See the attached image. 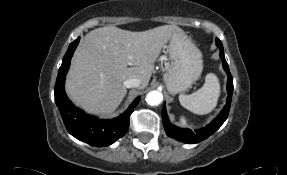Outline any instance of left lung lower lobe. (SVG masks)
<instances>
[{
  "label": "left lung lower lobe",
  "mask_w": 287,
  "mask_h": 175,
  "mask_svg": "<svg viewBox=\"0 0 287 175\" xmlns=\"http://www.w3.org/2000/svg\"><path fill=\"white\" fill-rule=\"evenodd\" d=\"M219 47H220V57L222 59L223 67L228 75V81H227L228 98H227L226 105L224 106L220 114L217 116V118H215L209 125H207L205 128L196 130L194 132L190 129H181V128H178L172 125L169 122V118L166 113V108L164 106L163 111H162V121H163V125L168 136L178 141L184 142V143H198V142L203 141L207 137H209L216 130H218L220 126L224 123V121L227 119V116L230 110V105H231V97L233 93V79L229 71L228 64L224 57L223 46H219Z\"/></svg>",
  "instance_id": "left-lung-lower-lobe-1"
}]
</instances>
